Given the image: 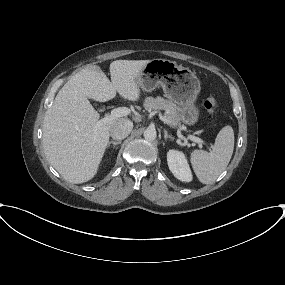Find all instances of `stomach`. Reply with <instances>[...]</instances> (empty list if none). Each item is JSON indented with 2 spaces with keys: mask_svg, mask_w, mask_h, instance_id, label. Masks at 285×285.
I'll return each mask as SVG.
<instances>
[{
  "mask_svg": "<svg viewBox=\"0 0 285 285\" xmlns=\"http://www.w3.org/2000/svg\"><path fill=\"white\" fill-rule=\"evenodd\" d=\"M139 86L151 92L161 86L165 96L179 106L180 120L194 125L200 118L195 105L200 92V82L195 73L167 59H152L144 66L138 77Z\"/></svg>",
  "mask_w": 285,
  "mask_h": 285,
  "instance_id": "obj_1",
  "label": "stomach"
}]
</instances>
